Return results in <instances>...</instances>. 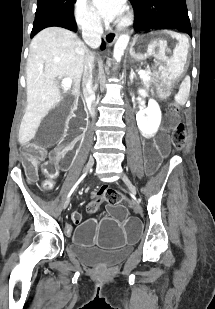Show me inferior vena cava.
Segmentation results:
<instances>
[{
  "mask_svg": "<svg viewBox=\"0 0 215 309\" xmlns=\"http://www.w3.org/2000/svg\"><path fill=\"white\" fill-rule=\"evenodd\" d=\"M82 26V38L85 40L88 46L91 48H98L101 44V36L103 34V28L101 24V18H88L84 20L81 24ZM93 68H94V56L89 54L85 58L84 68H83V96L87 104L90 116L94 118L95 108L97 106L95 88L93 84Z\"/></svg>",
  "mask_w": 215,
  "mask_h": 309,
  "instance_id": "1",
  "label": "inferior vena cava"
}]
</instances>
